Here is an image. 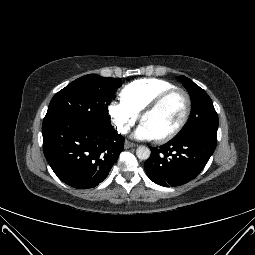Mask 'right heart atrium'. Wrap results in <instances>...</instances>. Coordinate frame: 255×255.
<instances>
[{"mask_svg": "<svg viewBox=\"0 0 255 255\" xmlns=\"http://www.w3.org/2000/svg\"><path fill=\"white\" fill-rule=\"evenodd\" d=\"M108 114L113 125L121 134L128 133L139 117V114L123 100L111 101L108 105Z\"/></svg>", "mask_w": 255, "mask_h": 255, "instance_id": "1", "label": "right heart atrium"}]
</instances>
